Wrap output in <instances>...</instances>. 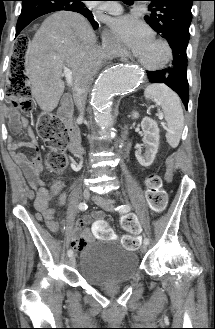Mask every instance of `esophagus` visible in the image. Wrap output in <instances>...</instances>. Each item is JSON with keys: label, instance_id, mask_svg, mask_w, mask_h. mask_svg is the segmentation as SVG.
Wrapping results in <instances>:
<instances>
[{"label": "esophagus", "instance_id": "esophagus-1", "mask_svg": "<svg viewBox=\"0 0 215 329\" xmlns=\"http://www.w3.org/2000/svg\"><path fill=\"white\" fill-rule=\"evenodd\" d=\"M122 60L125 61V62L129 61L127 57H123Z\"/></svg>", "mask_w": 215, "mask_h": 329}]
</instances>
